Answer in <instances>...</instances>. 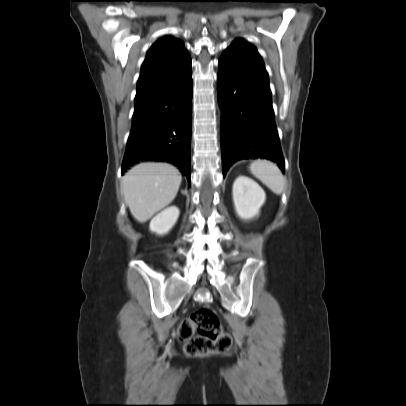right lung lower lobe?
Returning a JSON list of instances; mask_svg holds the SVG:
<instances>
[{
	"mask_svg": "<svg viewBox=\"0 0 406 406\" xmlns=\"http://www.w3.org/2000/svg\"><path fill=\"white\" fill-rule=\"evenodd\" d=\"M192 70L135 97L132 128L122 174L139 161H162L179 167L190 185Z\"/></svg>",
	"mask_w": 406,
	"mask_h": 406,
	"instance_id": "obj_1",
	"label": "right lung lower lobe"
}]
</instances>
